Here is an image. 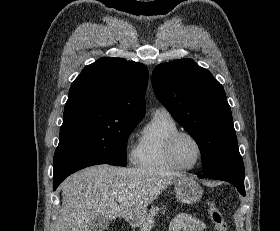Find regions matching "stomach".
I'll list each match as a JSON object with an SVG mask.
<instances>
[{
	"instance_id": "stomach-1",
	"label": "stomach",
	"mask_w": 280,
	"mask_h": 231,
	"mask_svg": "<svg viewBox=\"0 0 280 231\" xmlns=\"http://www.w3.org/2000/svg\"><path fill=\"white\" fill-rule=\"evenodd\" d=\"M175 195L178 201L182 203H197L200 201L203 193V189L194 177H188V175H183V177H177L173 181ZM131 225H139L140 219H134V217H129Z\"/></svg>"
}]
</instances>
